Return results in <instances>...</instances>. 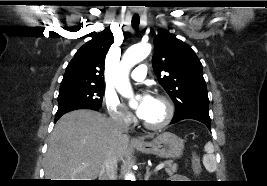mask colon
Returning <instances> with one entry per match:
<instances>
[{
  "label": "colon",
  "mask_w": 267,
  "mask_h": 186,
  "mask_svg": "<svg viewBox=\"0 0 267 186\" xmlns=\"http://www.w3.org/2000/svg\"><path fill=\"white\" fill-rule=\"evenodd\" d=\"M192 169L196 173L201 171L200 160H199V158L197 156H194V158L192 160Z\"/></svg>",
  "instance_id": "obj_1"
}]
</instances>
